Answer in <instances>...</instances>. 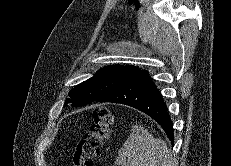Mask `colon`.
I'll return each instance as SVG.
<instances>
[{
  "mask_svg": "<svg viewBox=\"0 0 231 166\" xmlns=\"http://www.w3.org/2000/svg\"><path fill=\"white\" fill-rule=\"evenodd\" d=\"M113 121L114 117L109 109L99 107L94 110L89 131L76 144L71 158L72 166H93L103 142L109 136Z\"/></svg>",
  "mask_w": 231,
  "mask_h": 166,
  "instance_id": "1",
  "label": "colon"
}]
</instances>
